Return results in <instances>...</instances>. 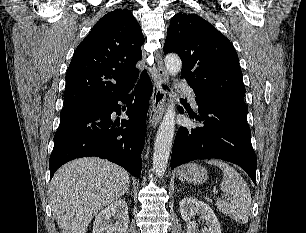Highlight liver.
I'll use <instances>...</instances> for the list:
<instances>
[{
    "instance_id": "1",
    "label": "liver",
    "mask_w": 306,
    "mask_h": 233,
    "mask_svg": "<svg viewBox=\"0 0 306 233\" xmlns=\"http://www.w3.org/2000/svg\"><path fill=\"white\" fill-rule=\"evenodd\" d=\"M122 167L100 158H81L62 166L50 183L52 211L62 233H86L94 216L127 191Z\"/></svg>"
}]
</instances>
